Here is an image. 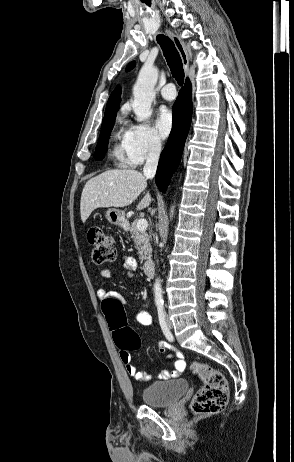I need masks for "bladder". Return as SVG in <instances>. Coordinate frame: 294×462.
Wrapping results in <instances>:
<instances>
[{
	"instance_id": "31cf9c89",
	"label": "bladder",
	"mask_w": 294,
	"mask_h": 462,
	"mask_svg": "<svg viewBox=\"0 0 294 462\" xmlns=\"http://www.w3.org/2000/svg\"><path fill=\"white\" fill-rule=\"evenodd\" d=\"M189 385L185 379L156 381L146 386L142 391L145 405L167 407L177 402L187 391Z\"/></svg>"
}]
</instances>
